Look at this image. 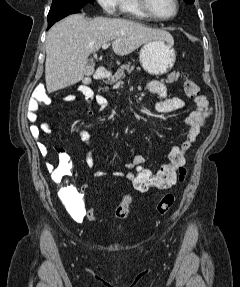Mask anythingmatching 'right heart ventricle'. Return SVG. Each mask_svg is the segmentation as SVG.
Listing matches in <instances>:
<instances>
[{
    "mask_svg": "<svg viewBox=\"0 0 240 287\" xmlns=\"http://www.w3.org/2000/svg\"><path fill=\"white\" fill-rule=\"evenodd\" d=\"M119 13L133 19H147L148 16L140 9L138 0H119Z\"/></svg>",
    "mask_w": 240,
    "mask_h": 287,
    "instance_id": "e07e8e85",
    "label": "right heart ventricle"
}]
</instances>
